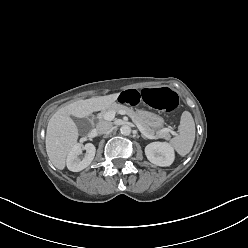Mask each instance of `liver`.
I'll use <instances>...</instances> for the list:
<instances>
[{
  "label": "liver",
  "mask_w": 248,
  "mask_h": 248,
  "mask_svg": "<svg viewBox=\"0 0 248 248\" xmlns=\"http://www.w3.org/2000/svg\"><path fill=\"white\" fill-rule=\"evenodd\" d=\"M119 93L78 100L60 108L49 120L46 131V151L52 164L60 170L65 168L66 157L77 143L79 132L71 116L85 118L93 112L111 106Z\"/></svg>",
  "instance_id": "6515ba94"
}]
</instances>
